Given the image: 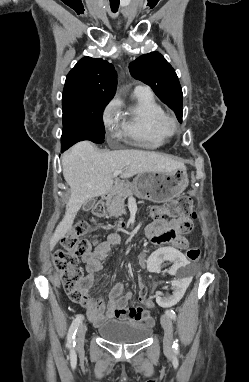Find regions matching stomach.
I'll use <instances>...</instances> for the list:
<instances>
[{
  "label": "stomach",
  "mask_w": 249,
  "mask_h": 382,
  "mask_svg": "<svg viewBox=\"0 0 249 382\" xmlns=\"http://www.w3.org/2000/svg\"><path fill=\"white\" fill-rule=\"evenodd\" d=\"M185 170L166 172H142L133 180L132 193L141 199L164 203L179 196L188 186ZM126 186V185H125Z\"/></svg>",
  "instance_id": "obj_1"
}]
</instances>
